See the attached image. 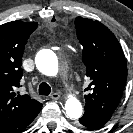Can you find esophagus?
<instances>
[{
  "mask_svg": "<svg viewBox=\"0 0 133 133\" xmlns=\"http://www.w3.org/2000/svg\"><path fill=\"white\" fill-rule=\"evenodd\" d=\"M50 98L53 100H58L60 98V95L58 93H53L50 95Z\"/></svg>",
  "mask_w": 133,
  "mask_h": 133,
  "instance_id": "obj_1",
  "label": "esophagus"
}]
</instances>
